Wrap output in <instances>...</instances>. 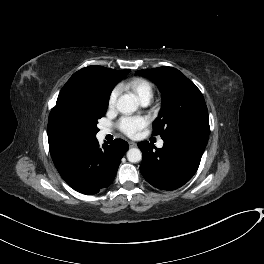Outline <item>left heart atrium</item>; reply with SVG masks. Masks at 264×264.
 <instances>
[{"label":"left heart atrium","instance_id":"left-heart-atrium-1","mask_svg":"<svg viewBox=\"0 0 264 264\" xmlns=\"http://www.w3.org/2000/svg\"><path fill=\"white\" fill-rule=\"evenodd\" d=\"M147 124L148 119L145 117H123L119 121L118 126L124 134L134 137Z\"/></svg>","mask_w":264,"mask_h":264}]
</instances>
